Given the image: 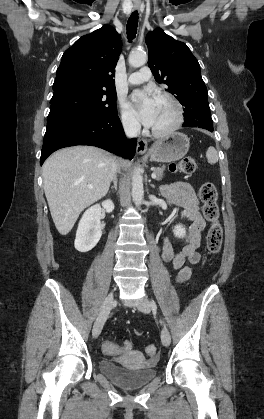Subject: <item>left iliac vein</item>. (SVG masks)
Here are the masks:
<instances>
[{
	"label": "left iliac vein",
	"instance_id": "1",
	"mask_svg": "<svg viewBox=\"0 0 264 419\" xmlns=\"http://www.w3.org/2000/svg\"><path fill=\"white\" fill-rule=\"evenodd\" d=\"M137 308L144 313H148V312L151 311L152 305L147 298H143L138 303ZM161 341H162L163 345L166 346V347L169 346L170 342H171L170 333L165 327L161 331Z\"/></svg>",
	"mask_w": 264,
	"mask_h": 419
}]
</instances>
